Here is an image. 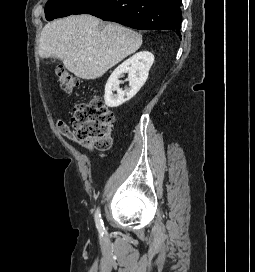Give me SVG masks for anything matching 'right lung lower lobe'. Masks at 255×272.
<instances>
[{"mask_svg": "<svg viewBox=\"0 0 255 272\" xmlns=\"http://www.w3.org/2000/svg\"><path fill=\"white\" fill-rule=\"evenodd\" d=\"M181 0H90L73 14H91L134 29L172 30L180 38Z\"/></svg>", "mask_w": 255, "mask_h": 272, "instance_id": "right-lung-lower-lobe-1", "label": "right lung lower lobe"}]
</instances>
